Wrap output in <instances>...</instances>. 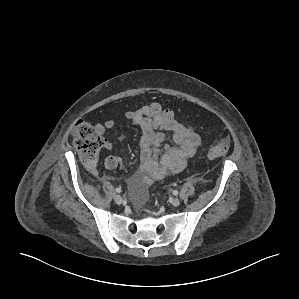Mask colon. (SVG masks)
Listing matches in <instances>:
<instances>
[{"label":"colon","instance_id":"5ec220e1","mask_svg":"<svg viewBox=\"0 0 299 299\" xmlns=\"http://www.w3.org/2000/svg\"><path fill=\"white\" fill-rule=\"evenodd\" d=\"M149 106L154 113L160 115L166 121L179 122V117L173 110L162 107L158 103H151ZM73 138L85 166L89 169H95L100 150L104 145L103 136L91 124L79 120L74 126ZM228 151L229 142L226 139H222L210 146L208 155L211 158H217L226 155Z\"/></svg>","mask_w":299,"mask_h":299}]
</instances>
